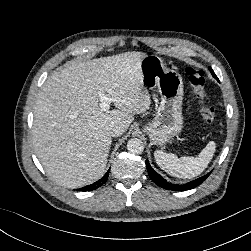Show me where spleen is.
Segmentation results:
<instances>
[{
  "mask_svg": "<svg viewBox=\"0 0 251 251\" xmlns=\"http://www.w3.org/2000/svg\"><path fill=\"white\" fill-rule=\"evenodd\" d=\"M216 145L210 141L197 157H181L175 154L156 150L154 157L157 165L168 174L182 179H190L200 175L210 163Z\"/></svg>",
  "mask_w": 251,
  "mask_h": 251,
  "instance_id": "1",
  "label": "spleen"
}]
</instances>
